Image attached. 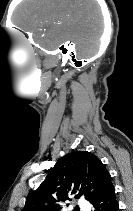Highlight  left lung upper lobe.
Returning <instances> with one entry per match:
<instances>
[{"mask_svg": "<svg viewBox=\"0 0 133 211\" xmlns=\"http://www.w3.org/2000/svg\"><path fill=\"white\" fill-rule=\"evenodd\" d=\"M38 189L26 198L23 211H59L60 203L83 194L93 203L112 185L105 165L92 153L76 151L57 160ZM74 211H79L76 207Z\"/></svg>", "mask_w": 133, "mask_h": 211, "instance_id": "1", "label": "left lung upper lobe"}]
</instances>
